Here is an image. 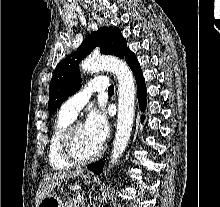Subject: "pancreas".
Returning <instances> with one entry per match:
<instances>
[{
    "mask_svg": "<svg viewBox=\"0 0 220 207\" xmlns=\"http://www.w3.org/2000/svg\"><path fill=\"white\" fill-rule=\"evenodd\" d=\"M65 207H85V204L83 201L73 200L69 201Z\"/></svg>",
    "mask_w": 220,
    "mask_h": 207,
    "instance_id": "pancreas-1",
    "label": "pancreas"
}]
</instances>
